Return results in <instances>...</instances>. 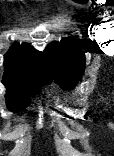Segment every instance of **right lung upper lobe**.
Listing matches in <instances>:
<instances>
[{
    "label": "right lung upper lobe",
    "instance_id": "1",
    "mask_svg": "<svg viewBox=\"0 0 114 156\" xmlns=\"http://www.w3.org/2000/svg\"><path fill=\"white\" fill-rule=\"evenodd\" d=\"M46 52H38L30 44H14L5 55L2 82L22 84L31 79L53 77V69Z\"/></svg>",
    "mask_w": 114,
    "mask_h": 156
}]
</instances>
